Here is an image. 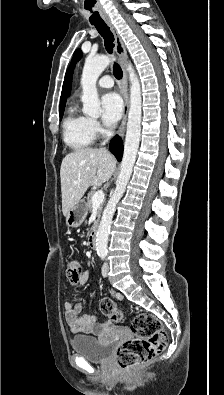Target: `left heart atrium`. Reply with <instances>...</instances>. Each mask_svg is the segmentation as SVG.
<instances>
[{
  "label": "left heart atrium",
  "instance_id": "1",
  "mask_svg": "<svg viewBox=\"0 0 224 395\" xmlns=\"http://www.w3.org/2000/svg\"><path fill=\"white\" fill-rule=\"evenodd\" d=\"M102 119L105 124L113 125L121 117L123 110L122 99L117 93L109 92L102 97Z\"/></svg>",
  "mask_w": 224,
  "mask_h": 395
}]
</instances>
